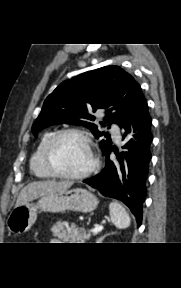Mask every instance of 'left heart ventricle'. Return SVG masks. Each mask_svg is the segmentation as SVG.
<instances>
[{"mask_svg":"<svg viewBox=\"0 0 181 288\" xmlns=\"http://www.w3.org/2000/svg\"><path fill=\"white\" fill-rule=\"evenodd\" d=\"M54 162L62 171L73 174L84 171L90 165L91 157L82 138L67 135L55 147Z\"/></svg>","mask_w":181,"mask_h":288,"instance_id":"left-heart-ventricle-1","label":"left heart ventricle"}]
</instances>
